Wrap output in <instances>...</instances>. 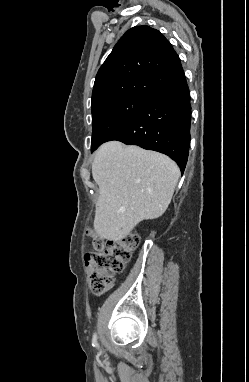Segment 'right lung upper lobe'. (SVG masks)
<instances>
[{"label": "right lung upper lobe", "instance_id": "1", "mask_svg": "<svg viewBox=\"0 0 249 382\" xmlns=\"http://www.w3.org/2000/svg\"><path fill=\"white\" fill-rule=\"evenodd\" d=\"M182 74L180 59L161 32L149 26L133 27L98 70L92 110L127 96L151 98Z\"/></svg>", "mask_w": 249, "mask_h": 382}]
</instances>
